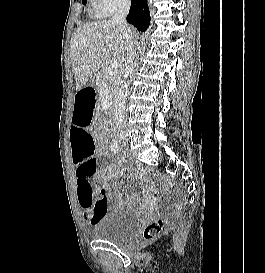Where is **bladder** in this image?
Segmentation results:
<instances>
[{
  "label": "bladder",
  "mask_w": 265,
  "mask_h": 273,
  "mask_svg": "<svg viewBox=\"0 0 265 273\" xmlns=\"http://www.w3.org/2000/svg\"><path fill=\"white\" fill-rule=\"evenodd\" d=\"M139 226V215L126 210L105 212L89 230L90 235L101 241L115 244L132 238Z\"/></svg>",
  "instance_id": "bladder-1"
}]
</instances>
